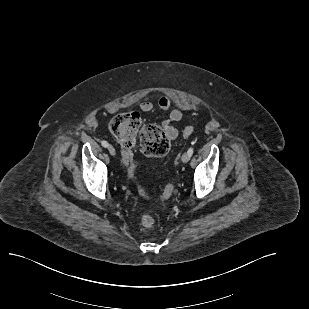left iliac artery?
I'll list each match as a JSON object with an SVG mask.
<instances>
[{
	"label": "left iliac artery",
	"instance_id": "44dca946",
	"mask_svg": "<svg viewBox=\"0 0 309 309\" xmlns=\"http://www.w3.org/2000/svg\"><path fill=\"white\" fill-rule=\"evenodd\" d=\"M193 152H194V149L192 147L188 149V153L190 156H192Z\"/></svg>",
	"mask_w": 309,
	"mask_h": 309
}]
</instances>
